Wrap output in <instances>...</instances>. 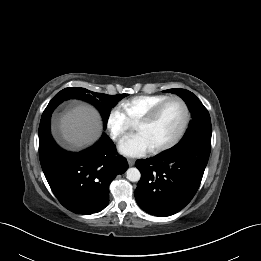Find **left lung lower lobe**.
Returning a JSON list of instances; mask_svg holds the SVG:
<instances>
[{"label": "left lung lower lobe", "instance_id": "obj_1", "mask_svg": "<svg viewBox=\"0 0 261 261\" xmlns=\"http://www.w3.org/2000/svg\"><path fill=\"white\" fill-rule=\"evenodd\" d=\"M210 150L211 139L193 137L155 157L137 160L141 179L135 198L140 208L162 217L183 209L199 188Z\"/></svg>", "mask_w": 261, "mask_h": 261}]
</instances>
